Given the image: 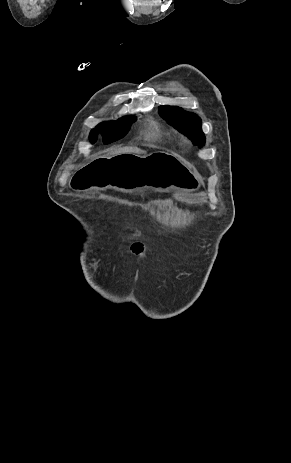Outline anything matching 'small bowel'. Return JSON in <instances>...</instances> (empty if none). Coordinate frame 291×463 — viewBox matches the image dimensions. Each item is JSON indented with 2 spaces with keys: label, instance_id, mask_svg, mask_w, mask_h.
<instances>
[{
  "label": "small bowel",
  "instance_id": "small-bowel-1",
  "mask_svg": "<svg viewBox=\"0 0 291 463\" xmlns=\"http://www.w3.org/2000/svg\"><path fill=\"white\" fill-rule=\"evenodd\" d=\"M132 251L138 255H142L144 253V245L142 242L137 241L132 245Z\"/></svg>",
  "mask_w": 291,
  "mask_h": 463
}]
</instances>
